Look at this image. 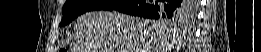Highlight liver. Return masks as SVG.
Instances as JSON below:
<instances>
[{
	"instance_id": "1",
	"label": "liver",
	"mask_w": 261,
	"mask_h": 52,
	"mask_svg": "<svg viewBox=\"0 0 261 52\" xmlns=\"http://www.w3.org/2000/svg\"><path fill=\"white\" fill-rule=\"evenodd\" d=\"M175 36L167 22L92 11L76 19L72 52H171Z\"/></svg>"
}]
</instances>
